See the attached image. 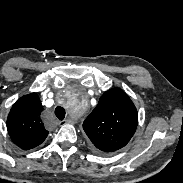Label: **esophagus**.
<instances>
[{"label":"esophagus","mask_w":183,"mask_h":183,"mask_svg":"<svg viewBox=\"0 0 183 183\" xmlns=\"http://www.w3.org/2000/svg\"><path fill=\"white\" fill-rule=\"evenodd\" d=\"M70 122H71L70 120L65 119V120L61 121L60 123H61L62 125H66V124H69Z\"/></svg>","instance_id":"esophagus-1"}]
</instances>
